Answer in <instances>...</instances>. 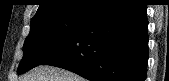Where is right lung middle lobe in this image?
I'll return each mask as SVG.
<instances>
[{
  "instance_id": "right-lung-middle-lobe-1",
  "label": "right lung middle lobe",
  "mask_w": 169,
  "mask_h": 81,
  "mask_svg": "<svg viewBox=\"0 0 169 81\" xmlns=\"http://www.w3.org/2000/svg\"><path fill=\"white\" fill-rule=\"evenodd\" d=\"M89 18L61 15L31 21L30 33L23 46L18 74L45 61L65 45Z\"/></svg>"
}]
</instances>
